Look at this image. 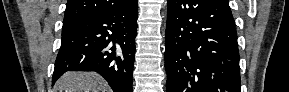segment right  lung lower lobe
I'll return each instance as SVG.
<instances>
[{"instance_id":"1","label":"right lung lower lobe","mask_w":289,"mask_h":92,"mask_svg":"<svg viewBox=\"0 0 289 92\" xmlns=\"http://www.w3.org/2000/svg\"><path fill=\"white\" fill-rule=\"evenodd\" d=\"M137 0L62 30L52 84L67 71H95L114 92H132Z\"/></svg>"}]
</instances>
